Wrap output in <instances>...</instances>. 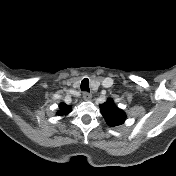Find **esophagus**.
Returning a JSON list of instances; mask_svg holds the SVG:
<instances>
[{
    "instance_id": "1",
    "label": "esophagus",
    "mask_w": 176,
    "mask_h": 176,
    "mask_svg": "<svg viewBox=\"0 0 176 176\" xmlns=\"http://www.w3.org/2000/svg\"><path fill=\"white\" fill-rule=\"evenodd\" d=\"M82 97L85 101H88L91 99L92 95L89 92H84Z\"/></svg>"
}]
</instances>
